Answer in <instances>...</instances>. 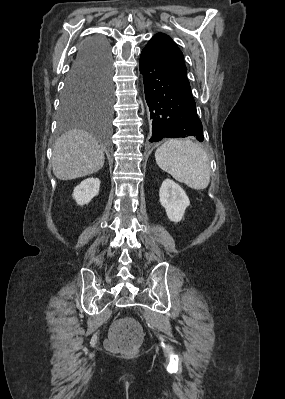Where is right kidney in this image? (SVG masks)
Wrapping results in <instances>:
<instances>
[{
	"label": "right kidney",
	"mask_w": 285,
	"mask_h": 399,
	"mask_svg": "<svg viewBox=\"0 0 285 399\" xmlns=\"http://www.w3.org/2000/svg\"><path fill=\"white\" fill-rule=\"evenodd\" d=\"M100 180L98 178H88L77 185L73 191V198L78 205L88 204L99 193Z\"/></svg>",
	"instance_id": "1"
}]
</instances>
